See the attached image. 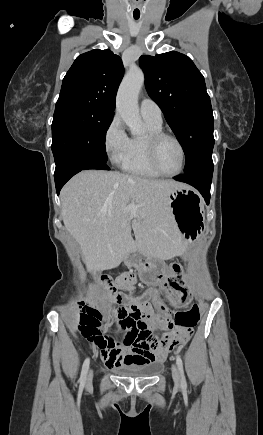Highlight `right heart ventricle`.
Segmentation results:
<instances>
[{"instance_id":"obj_1","label":"right heart ventricle","mask_w":263,"mask_h":435,"mask_svg":"<svg viewBox=\"0 0 263 435\" xmlns=\"http://www.w3.org/2000/svg\"><path fill=\"white\" fill-rule=\"evenodd\" d=\"M147 134L129 138L127 150L121 167L124 171L141 177L157 178L160 175L153 170L147 157L146 138L149 134L162 131V123L144 118Z\"/></svg>"}]
</instances>
